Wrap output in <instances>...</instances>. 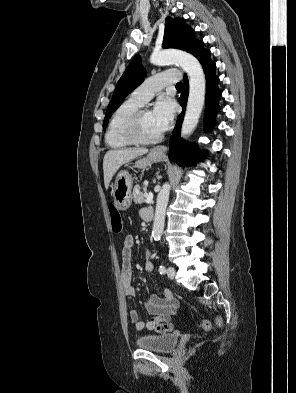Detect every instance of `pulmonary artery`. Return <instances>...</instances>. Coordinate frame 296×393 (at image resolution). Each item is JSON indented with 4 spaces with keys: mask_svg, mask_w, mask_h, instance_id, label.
Returning <instances> with one entry per match:
<instances>
[{
    "mask_svg": "<svg viewBox=\"0 0 296 393\" xmlns=\"http://www.w3.org/2000/svg\"><path fill=\"white\" fill-rule=\"evenodd\" d=\"M179 74L176 70L154 74L132 91L129 99L139 105L146 104L156 93L169 84L178 83Z\"/></svg>",
    "mask_w": 296,
    "mask_h": 393,
    "instance_id": "e3ab8cb5",
    "label": "pulmonary artery"
}]
</instances>
